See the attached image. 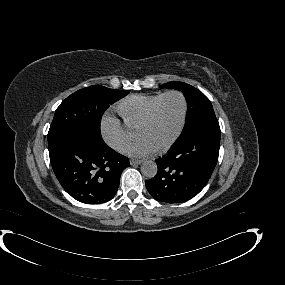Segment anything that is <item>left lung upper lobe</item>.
I'll return each mask as SVG.
<instances>
[{
	"label": "left lung upper lobe",
	"mask_w": 285,
	"mask_h": 285,
	"mask_svg": "<svg viewBox=\"0 0 285 285\" xmlns=\"http://www.w3.org/2000/svg\"><path fill=\"white\" fill-rule=\"evenodd\" d=\"M160 87L180 90L186 98L188 110L181 136L205 121L216 119L210 100L200 90L183 82H168Z\"/></svg>",
	"instance_id": "5c2ea615"
}]
</instances>
